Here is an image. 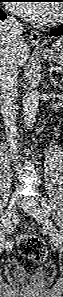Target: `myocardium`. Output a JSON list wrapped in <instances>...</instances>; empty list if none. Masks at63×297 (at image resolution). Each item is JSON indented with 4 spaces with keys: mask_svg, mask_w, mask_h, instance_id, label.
Segmentation results:
<instances>
[{
    "mask_svg": "<svg viewBox=\"0 0 63 297\" xmlns=\"http://www.w3.org/2000/svg\"><path fill=\"white\" fill-rule=\"evenodd\" d=\"M60 16H61V12H60L59 7L54 6L53 7V15H52V18L50 19L49 23L50 24L56 23L60 19Z\"/></svg>",
    "mask_w": 63,
    "mask_h": 297,
    "instance_id": "obj_1",
    "label": "myocardium"
}]
</instances>
